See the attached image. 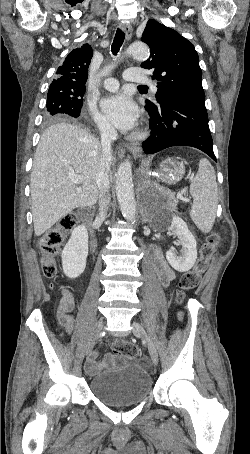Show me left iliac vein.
Segmentation results:
<instances>
[{"mask_svg":"<svg viewBox=\"0 0 250 454\" xmlns=\"http://www.w3.org/2000/svg\"><path fill=\"white\" fill-rule=\"evenodd\" d=\"M132 332L136 337L142 338L148 347L150 357L152 360V363L156 366L158 364V352L157 349L150 339V337L147 335L145 329L142 327V325L136 321L132 322Z\"/></svg>","mask_w":250,"mask_h":454,"instance_id":"1","label":"left iliac vein"}]
</instances>
